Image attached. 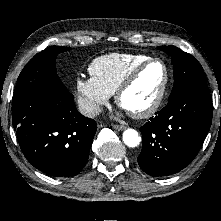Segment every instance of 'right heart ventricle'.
Listing matches in <instances>:
<instances>
[{
    "instance_id": "obj_1",
    "label": "right heart ventricle",
    "mask_w": 221,
    "mask_h": 221,
    "mask_svg": "<svg viewBox=\"0 0 221 221\" xmlns=\"http://www.w3.org/2000/svg\"><path fill=\"white\" fill-rule=\"evenodd\" d=\"M149 58L144 54L111 53L94 59L88 72L101 89L112 95L129 72Z\"/></svg>"
}]
</instances>
